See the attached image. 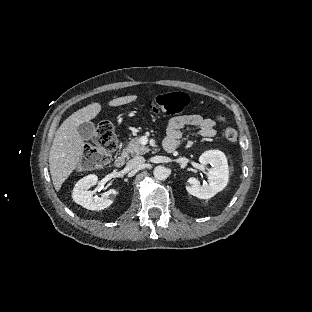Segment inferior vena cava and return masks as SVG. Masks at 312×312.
I'll list each match as a JSON object with an SVG mask.
<instances>
[{
	"instance_id": "inferior-vena-cava-1",
	"label": "inferior vena cava",
	"mask_w": 312,
	"mask_h": 312,
	"mask_svg": "<svg viewBox=\"0 0 312 312\" xmlns=\"http://www.w3.org/2000/svg\"><path fill=\"white\" fill-rule=\"evenodd\" d=\"M145 163V159L142 156H136L128 162V166L131 168H136Z\"/></svg>"
}]
</instances>
